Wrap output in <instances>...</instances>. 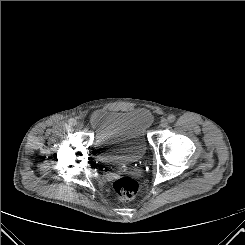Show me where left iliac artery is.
<instances>
[{
    "instance_id": "1",
    "label": "left iliac artery",
    "mask_w": 245,
    "mask_h": 245,
    "mask_svg": "<svg viewBox=\"0 0 245 245\" xmlns=\"http://www.w3.org/2000/svg\"><path fill=\"white\" fill-rule=\"evenodd\" d=\"M175 119H176V117L173 114H171V115L168 116V121L170 123H173L175 121Z\"/></svg>"
}]
</instances>
